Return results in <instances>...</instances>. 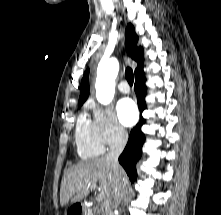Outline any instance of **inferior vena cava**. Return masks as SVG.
<instances>
[{
  "mask_svg": "<svg viewBox=\"0 0 221 215\" xmlns=\"http://www.w3.org/2000/svg\"><path fill=\"white\" fill-rule=\"evenodd\" d=\"M128 140V134L122 128H119L115 142L111 145L110 151L106 155V160L111 164L115 178L114 193L112 198L104 202L103 215H114V210L120 204L123 193L124 184L120 175V166L118 158L122 153Z\"/></svg>",
  "mask_w": 221,
  "mask_h": 215,
  "instance_id": "inferior-vena-cava-1",
  "label": "inferior vena cava"
}]
</instances>
